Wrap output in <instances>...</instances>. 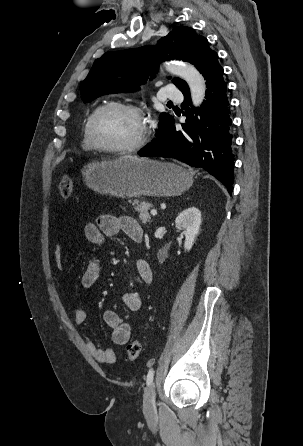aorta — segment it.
Segmentation results:
<instances>
[{
    "mask_svg": "<svg viewBox=\"0 0 303 446\" xmlns=\"http://www.w3.org/2000/svg\"><path fill=\"white\" fill-rule=\"evenodd\" d=\"M166 70L187 82L193 105L200 106L205 98L206 84L199 71L193 65L186 63H169L166 65Z\"/></svg>",
    "mask_w": 303,
    "mask_h": 446,
    "instance_id": "762f6f07",
    "label": "aorta"
}]
</instances>
